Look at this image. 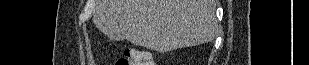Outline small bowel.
<instances>
[{
	"label": "small bowel",
	"mask_w": 309,
	"mask_h": 65,
	"mask_svg": "<svg viewBox=\"0 0 309 65\" xmlns=\"http://www.w3.org/2000/svg\"><path fill=\"white\" fill-rule=\"evenodd\" d=\"M145 62H146V63H152L151 57H150L148 60H146Z\"/></svg>",
	"instance_id": "c3829d8e"
}]
</instances>
